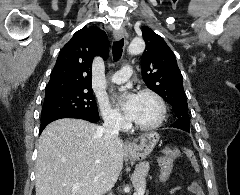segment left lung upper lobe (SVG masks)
I'll use <instances>...</instances> for the list:
<instances>
[{
    "label": "left lung upper lobe",
    "mask_w": 240,
    "mask_h": 195,
    "mask_svg": "<svg viewBox=\"0 0 240 195\" xmlns=\"http://www.w3.org/2000/svg\"><path fill=\"white\" fill-rule=\"evenodd\" d=\"M143 38L146 49L141 58L142 78L148 88L173 107L177 119L172 125L189 131L188 104L175 55L164 39L149 27H143Z\"/></svg>",
    "instance_id": "obj_1"
}]
</instances>
